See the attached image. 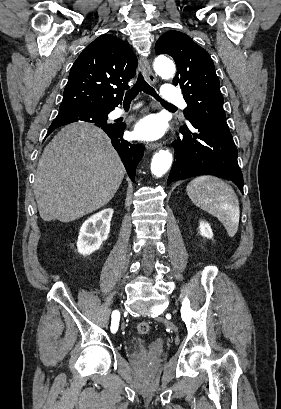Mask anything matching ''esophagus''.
<instances>
[{"mask_svg":"<svg viewBox=\"0 0 281 409\" xmlns=\"http://www.w3.org/2000/svg\"><path fill=\"white\" fill-rule=\"evenodd\" d=\"M139 63H140V66H141L146 78L149 80V82L156 83L157 78H156V76L154 75V73H153V71L151 69V66L149 64L148 59L146 57H144V56H140ZM160 146H161V144H159V143H153V144H148L146 147L153 150V149H157Z\"/></svg>","mask_w":281,"mask_h":409,"instance_id":"34e87169","label":"esophagus"}]
</instances>
